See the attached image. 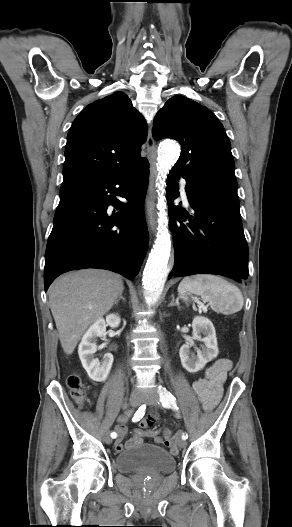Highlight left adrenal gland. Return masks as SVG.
Here are the masks:
<instances>
[{"instance_id": "obj_1", "label": "left adrenal gland", "mask_w": 292, "mask_h": 527, "mask_svg": "<svg viewBox=\"0 0 292 527\" xmlns=\"http://www.w3.org/2000/svg\"><path fill=\"white\" fill-rule=\"evenodd\" d=\"M171 297H172V300H171V302L169 303L168 306H169V307L177 306L178 308H180V305H179L177 302H175L174 295H171Z\"/></svg>"}]
</instances>
